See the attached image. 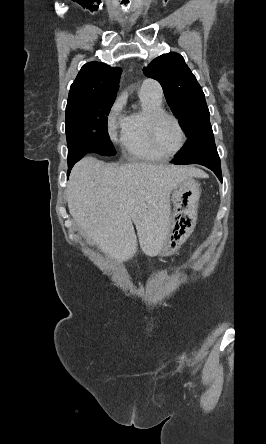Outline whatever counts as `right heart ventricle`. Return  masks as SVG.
<instances>
[{
    "mask_svg": "<svg viewBox=\"0 0 266 444\" xmlns=\"http://www.w3.org/2000/svg\"><path fill=\"white\" fill-rule=\"evenodd\" d=\"M143 109L134 112L126 118L122 131L121 145L123 151L131 158L142 161H158L164 156L158 154L151 146L147 135L148 116L162 110L161 100L141 94Z\"/></svg>",
    "mask_w": 266,
    "mask_h": 444,
    "instance_id": "obj_1",
    "label": "right heart ventricle"
}]
</instances>
